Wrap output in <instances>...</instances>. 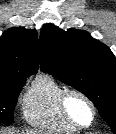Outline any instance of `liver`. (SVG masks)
<instances>
[{"instance_id":"liver-1","label":"liver","mask_w":116,"mask_h":134,"mask_svg":"<svg viewBox=\"0 0 116 134\" xmlns=\"http://www.w3.org/2000/svg\"><path fill=\"white\" fill-rule=\"evenodd\" d=\"M0 134H37L35 131H26V132H16V131H5L0 130Z\"/></svg>"}]
</instances>
